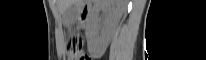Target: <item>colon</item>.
<instances>
[{"label":"colon","instance_id":"colon-1","mask_svg":"<svg viewBox=\"0 0 206 60\" xmlns=\"http://www.w3.org/2000/svg\"><path fill=\"white\" fill-rule=\"evenodd\" d=\"M69 60H90L83 50V40L78 34H71L66 43Z\"/></svg>","mask_w":206,"mask_h":60}]
</instances>
